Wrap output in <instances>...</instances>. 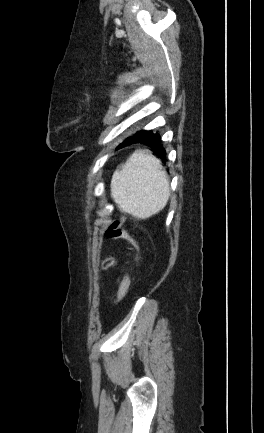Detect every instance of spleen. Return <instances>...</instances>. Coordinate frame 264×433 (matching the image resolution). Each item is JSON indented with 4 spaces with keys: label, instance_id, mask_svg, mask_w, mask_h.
<instances>
[{
    "label": "spleen",
    "instance_id": "obj_1",
    "mask_svg": "<svg viewBox=\"0 0 264 433\" xmlns=\"http://www.w3.org/2000/svg\"><path fill=\"white\" fill-rule=\"evenodd\" d=\"M111 197L118 208L137 219L160 212L170 196L167 174L161 161L146 150H136L111 179Z\"/></svg>",
    "mask_w": 264,
    "mask_h": 433
}]
</instances>
